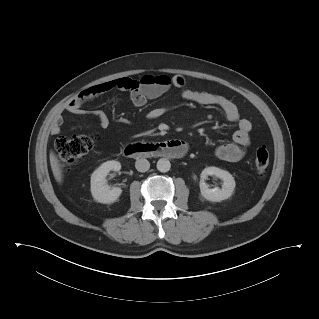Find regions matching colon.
Returning a JSON list of instances; mask_svg holds the SVG:
<instances>
[{"instance_id":"1","label":"colon","mask_w":319,"mask_h":319,"mask_svg":"<svg viewBox=\"0 0 319 319\" xmlns=\"http://www.w3.org/2000/svg\"><path fill=\"white\" fill-rule=\"evenodd\" d=\"M171 84L170 77L166 75H144L137 80L127 79L120 89L144 94H156L167 89ZM96 142L94 135L61 136L56 140L55 147L60 165L63 169H69L93 148ZM269 153L264 148H259L254 156V169L258 177L266 175L269 166Z\"/></svg>"}]
</instances>
